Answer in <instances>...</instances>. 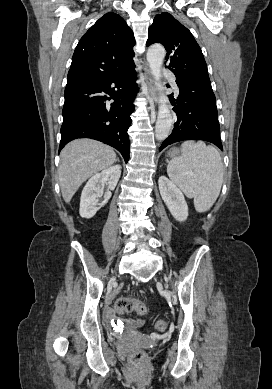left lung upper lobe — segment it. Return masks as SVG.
<instances>
[{"mask_svg": "<svg viewBox=\"0 0 272 389\" xmlns=\"http://www.w3.org/2000/svg\"><path fill=\"white\" fill-rule=\"evenodd\" d=\"M146 45L162 43L167 51L166 62L176 78L208 77L202 51L191 32L171 14L156 15L150 26Z\"/></svg>", "mask_w": 272, "mask_h": 389, "instance_id": "1", "label": "left lung upper lobe"}]
</instances>
